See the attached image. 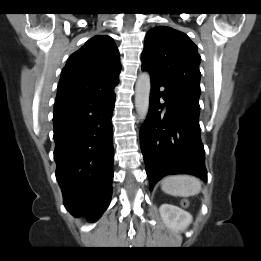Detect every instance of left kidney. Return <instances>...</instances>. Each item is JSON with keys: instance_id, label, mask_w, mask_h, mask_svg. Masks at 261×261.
Instances as JSON below:
<instances>
[{"instance_id": "obj_1", "label": "left kidney", "mask_w": 261, "mask_h": 261, "mask_svg": "<svg viewBox=\"0 0 261 261\" xmlns=\"http://www.w3.org/2000/svg\"><path fill=\"white\" fill-rule=\"evenodd\" d=\"M160 214L164 224L175 232L182 231L192 222L190 213L171 204H162Z\"/></svg>"}]
</instances>
